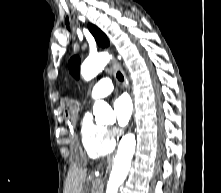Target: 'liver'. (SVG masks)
I'll list each match as a JSON object with an SVG mask.
<instances>
[{"label": "liver", "mask_w": 221, "mask_h": 193, "mask_svg": "<svg viewBox=\"0 0 221 193\" xmlns=\"http://www.w3.org/2000/svg\"><path fill=\"white\" fill-rule=\"evenodd\" d=\"M86 176L87 173L85 169L74 167L69 175L70 186L68 193H81Z\"/></svg>", "instance_id": "6515ba94"}]
</instances>
